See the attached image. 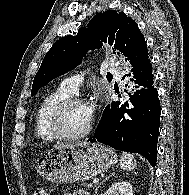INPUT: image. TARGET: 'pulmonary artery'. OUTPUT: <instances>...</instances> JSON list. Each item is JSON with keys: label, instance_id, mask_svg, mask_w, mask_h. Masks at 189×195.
Returning <instances> with one entry per match:
<instances>
[{"label": "pulmonary artery", "instance_id": "obj_1", "mask_svg": "<svg viewBox=\"0 0 189 195\" xmlns=\"http://www.w3.org/2000/svg\"><path fill=\"white\" fill-rule=\"evenodd\" d=\"M82 78L79 76H73L66 78L62 81L61 87L70 94L76 93Z\"/></svg>", "mask_w": 189, "mask_h": 195}]
</instances>
